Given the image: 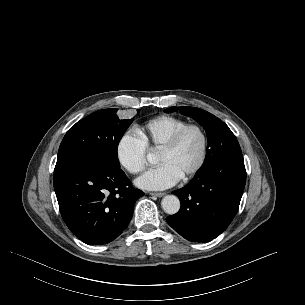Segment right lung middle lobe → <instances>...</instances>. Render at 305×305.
<instances>
[{"label": "right lung middle lobe", "instance_id": "1", "mask_svg": "<svg viewBox=\"0 0 305 305\" xmlns=\"http://www.w3.org/2000/svg\"><path fill=\"white\" fill-rule=\"evenodd\" d=\"M117 111L100 110L73 125L60 145L56 165L94 161L119 169L118 144L133 119L120 120Z\"/></svg>", "mask_w": 305, "mask_h": 305}]
</instances>
